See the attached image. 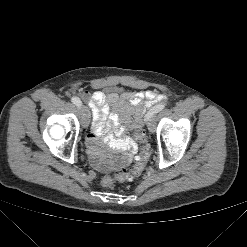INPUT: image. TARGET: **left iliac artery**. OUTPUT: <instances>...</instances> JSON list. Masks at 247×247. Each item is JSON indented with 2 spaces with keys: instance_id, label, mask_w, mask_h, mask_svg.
<instances>
[{
  "instance_id": "1",
  "label": "left iliac artery",
  "mask_w": 247,
  "mask_h": 247,
  "mask_svg": "<svg viewBox=\"0 0 247 247\" xmlns=\"http://www.w3.org/2000/svg\"><path fill=\"white\" fill-rule=\"evenodd\" d=\"M164 108H165V105H164V104H158V105L154 106V107H153L152 109H150V110L147 112V114L145 115V120H146L148 117L154 115L155 113H158V112L162 111Z\"/></svg>"
}]
</instances>
